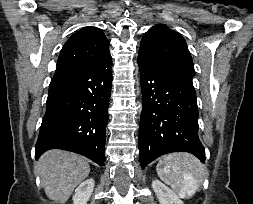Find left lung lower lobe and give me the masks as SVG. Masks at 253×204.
I'll use <instances>...</instances> for the list:
<instances>
[{"label":"left lung lower lobe","instance_id":"obj_1","mask_svg":"<svg viewBox=\"0 0 253 204\" xmlns=\"http://www.w3.org/2000/svg\"><path fill=\"white\" fill-rule=\"evenodd\" d=\"M143 110L138 137L142 168L171 152H189L205 161L198 137V107L191 79L138 55Z\"/></svg>","mask_w":253,"mask_h":204}]
</instances>
